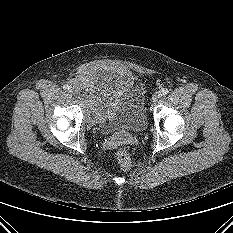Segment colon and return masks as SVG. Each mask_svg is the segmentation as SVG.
<instances>
[{
  "label": "colon",
  "mask_w": 233,
  "mask_h": 233,
  "mask_svg": "<svg viewBox=\"0 0 233 233\" xmlns=\"http://www.w3.org/2000/svg\"><path fill=\"white\" fill-rule=\"evenodd\" d=\"M116 160L122 170H128L131 167V157L125 149H119L116 152Z\"/></svg>",
  "instance_id": "obj_1"
}]
</instances>
